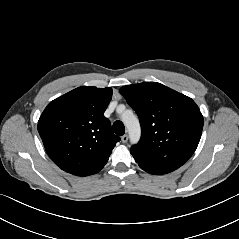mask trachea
I'll return each instance as SVG.
<instances>
[{
    "instance_id": "obj_1",
    "label": "trachea",
    "mask_w": 239,
    "mask_h": 239,
    "mask_svg": "<svg viewBox=\"0 0 239 239\" xmlns=\"http://www.w3.org/2000/svg\"><path fill=\"white\" fill-rule=\"evenodd\" d=\"M113 131L117 134L122 136L125 133V127L121 121H115L113 123Z\"/></svg>"
}]
</instances>
